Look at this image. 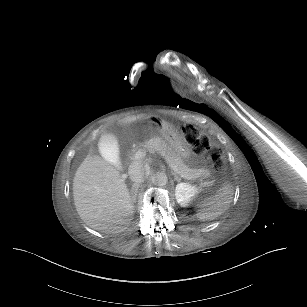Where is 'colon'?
<instances>
[{
	"label": "colon",
	"instance_id": "obj_1",
	"mask_svg": "<svg viewBox=\"0 0 307 307\" xmlns=\"http://www.w3.org/2000/svg\"><path fill=\"white\" fill-rule=\"evenodd\" d=\"M183 137L185 141L195 149H198L204 157L205 162L216 169L223 166V156L220 149L212 147L206 136L200 135L198 130L191 126L184 128Z\"/></svg>",
	"mask_w": 307,
	"mask_h": 307
}]
</instances>
